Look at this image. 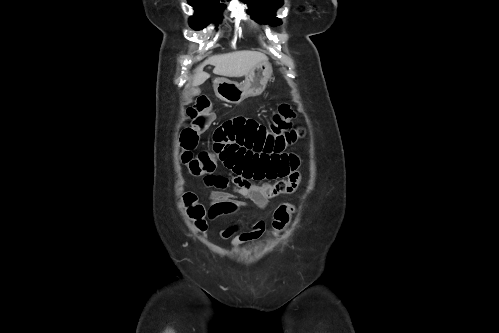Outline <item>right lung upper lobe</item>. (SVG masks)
Segmentation results:
<instances>
[{
    "mask_svg": "<svg viewBox=\"0 0 499 333\" xmlns=\"http://www.w3.org/2000/svg\"><path fill=\"white\" fill-rule=\"evenodd\" d=\"M189 1H219V0H189Z\"/></svg>",
    "mask_w": 499,
    "mask_h": 333,
    "instance_id": "cb5924a9",
    "label": "right lung upper lobe"
}]
</instances>
